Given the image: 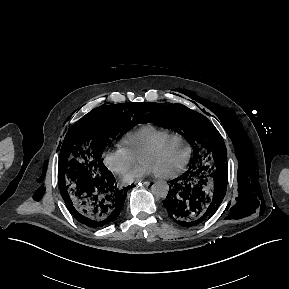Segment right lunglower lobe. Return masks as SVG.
Segmentation results:
<instances>
[{
    "mask_svg": "<svg viewBox=\"0 0 289 289\" xmlns=\"http://www.w3.org/2000/svg\"><path fill=\"white\" fill-rule=\"evenodd\" d=\"M128 188L119 189L108 170L62 192L63 200L73 217L91 228L112 224L120 215Z\"/></svg>",
    "mask_w": 289,
    "mask_h": 289,
    "instance_id": "right-lung-lower-lobe-1",
    "label": "right lung lower lobe"
}]
</instances>
